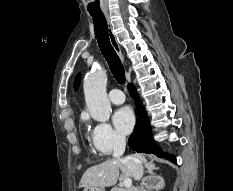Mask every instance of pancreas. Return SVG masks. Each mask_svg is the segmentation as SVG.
Returning a JSON list of instances; mask_svg holds the SVG:
<instances>
[{
  "mask_svg": "<svg viewBox=\"0 0 233 191\" xmlns=\"http://www.w3.org/2000/svg\"><path fill=\"white\" fill-rule=\"evenodd\" d=\"M111 191H136L133 188H127V189H123L120 187H114Z\"/></svg>",
  "mask_w": 233,
  "mask_h": 191,
  "instance_id": "1",
  "label": "pancreas"
}]
</instances>
